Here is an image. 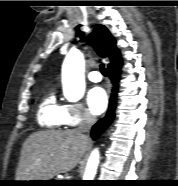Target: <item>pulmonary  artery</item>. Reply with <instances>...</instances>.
<instances>
[{
    "instance_id": "1",
    "label": "pulmonary artery",
    "mask_w": 178,
    "mask_h": 186,
    "mask_svg": "<svg viewBox=\"0 0 178 186\" xmlns=\"http://www.w3.org/2000/svg\"><path fill=\"white\" fill-rule=\"evenodd\" d=\"M88 78L92 82H99V81H101L102 76L97 71H91V72L88 73Z\"/></svg>"
}]
</instances>
